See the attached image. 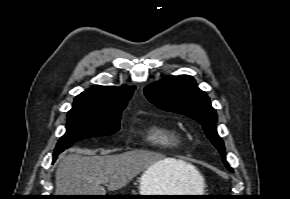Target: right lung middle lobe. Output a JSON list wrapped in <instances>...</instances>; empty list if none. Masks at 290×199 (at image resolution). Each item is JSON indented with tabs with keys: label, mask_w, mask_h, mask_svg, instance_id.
<instances>
[{
	"label": "right lung middle lobe",
	"mask_w": 290,
	"mask_h": 199,
	"mask_svg": "<svg viewBox=\"0 0 290 199\" xmlns=\"http://www.w3.org/2000/svg\"><path fill=\"white\" fill-rule=\"evenodd\" d=\"M114 112H90L84 110H70L68 112L66 133L59 139L53 158L69 148L75 142L90 137L107 136L119 130L120 114Z\"/></svg>",
	"instance_id": "obj_1"
}]
</instances>
